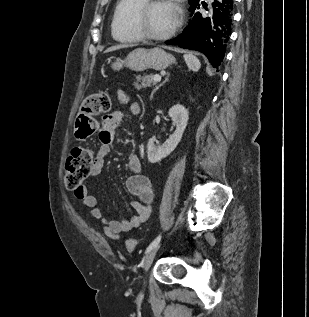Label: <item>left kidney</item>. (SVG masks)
Returning a JSON list of instances; mask_svg holds the SVG:
<instances>
[{
  "mask_svg": "<svg viewBox=\"0 0 309 317\" xmlns=\"http://www.w3.org/2000/svg\"><path fill=\"white\" fill-rule=\"evenodd\" d=\"M173 124L176 126L174 133L162 144L156 146L154 140L149 139L147 144L148 160L151 163L161 161L177 147L186 129L189 115L188 110L180 104L174 105L168 112Z\"/></svg>",
  "mask_w": 309,
  "mask_h": 317,
  "instance_id": "5707ae66",
  "label": "left kidney"
}]
</instances>
